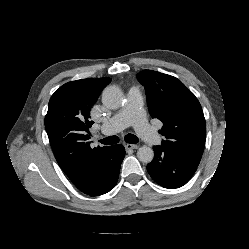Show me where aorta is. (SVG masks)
Returning a JSON list of instances; mask_svg holds the SVG:
<instances>
[{
  "mask_svg": "<svg viewBox=\"0 0 249 249\" xmlns=\"http://www.w3.org/2000/svg\"><path fill=\"white\" fill-rule=\"evenodd\" d=\"M123 99L122 90L115 85L106 87L102 93V102L109 109H118ZM137 158L143 163H150L154 158V151L148 146H141L137 151Z\"/></svg>",
  "mask_w": 249,
  "mask_h": 249,
  "instance_id": "1",
  "label": "aorta"
}]
</instances>
